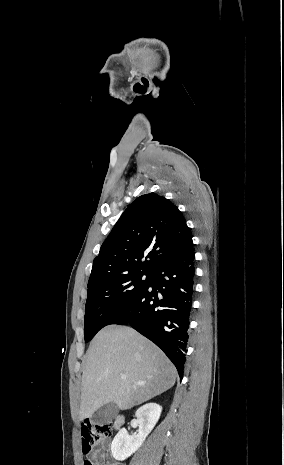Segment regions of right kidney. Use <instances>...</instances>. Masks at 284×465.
Listing matches in <instances>:
<instances>
[{"label": "right kidney", "instance_id": "1", "mask_svg": "<svg viewBox=\"0 0 284 465\" xmlns=\"http://www.w3.org/2000/svg\"><path fill=\"white\" fill-rule=\"evenodd\" d=\"M161 411L162 407L157 403H147V405H143L136 411L135 415L139 427L137 435H131L130 437L126 429H120L112 441L111 453L116 461H125L140 449L147 435L154 429Z\"/></svg>", "mask_w": 284, "mask_h": 465}]
</instances>
